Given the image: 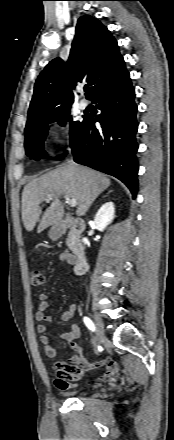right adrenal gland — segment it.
I'll use <instances>...</instances> for the list:
<instances>
[{"label":"right adrenal gland","instance_id":"2a0ac1e0","mask_svg":"<svg viewBox=\"0 0 174 440\" xmlns=\"http://www.w3.org/2000/svg\"><path fill=\"white\" fill-rule=\"evenodd\" d=\"M111 192H112V190H110L108 193H106V195H103L102 197H107V195Z\"/></svg>","mask_w":174,"mask_h":440}]
</instances>
